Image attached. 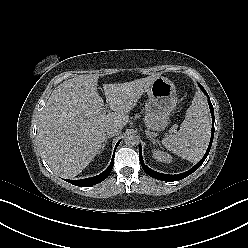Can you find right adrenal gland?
<instances>
[{
  "mask_svg": "<svg viewBox=\"0 0 248 248\" xmlns=\"http://www.w3.org/2000/svg\"><path fill=\"white\" fill-rule=\"evenodd\" d=\"M109 138H111V137L108 136V137L105 139L104 143L102 144V148H101L102 151L104 150V148H105V146H106V144H107Z\"/></svg>",
  "mask_w": 248,
  "mask_h": 248,
  "instance_id": "2a0ac1e0",
  "label": "right adrenal gland"
}]
</instances>
